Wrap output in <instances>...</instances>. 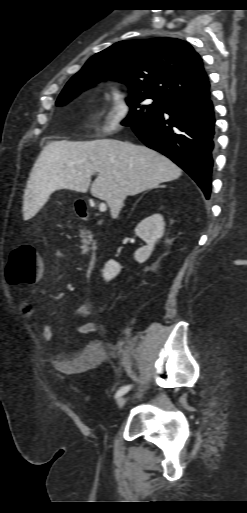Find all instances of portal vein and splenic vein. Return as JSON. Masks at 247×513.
<instances>
[{"label": "portal vein and splenic vein", "instance_id": "18ae733b", "mask_svg": "<svg viewBox=\"0 0 247 513\" xmlns=\"http://www.w3.org/2000/svg\"><path fill=\"white\" fill-rule=\"evenodd\" d=\"M106 209H107V207H106V204H105V203H101V204L99 205V211H100V212H105V211H106Z\"/></svg>", "mask_w": 247, "mask_h": 513}]
</instances>
